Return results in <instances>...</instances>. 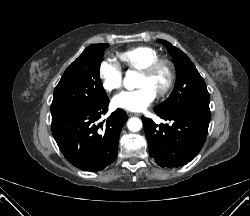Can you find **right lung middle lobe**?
Masks as SVG:
<instances>
[{"label":"right lung middle lobe","mask_w":250,"mask_h":216,"mask_svg":"<svg viewBox=\"0 0 250 216\" xmlns=\"http://www.w3.org/2000/svg\"><path fill=\"white\" fill-rule=\"evenodd\" d=\"M105 49H85L67 67L53 92L52 119L86 110L107 98L100 79V65Z\"/></svg>","instance_id":"dd1d6c3e"}]
</instances>
